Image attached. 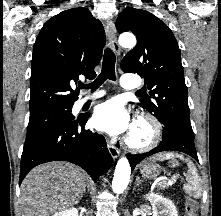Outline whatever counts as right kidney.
<instances>
[{"mask_svg": "<svg viewBox=\"0 0 221 216\" xmlns=\"http://www.w3.org/2000/svg\"><path fill=\"white\" fill-rule=\"evenodd\" d=\"M53 216H78V210L76 208H70L57 212Z\"/></svg>", "mask_w": 221, "mask_h": 216, "instance_id": "ca27d5eb", "label": "right kidney"}]
</instances>
